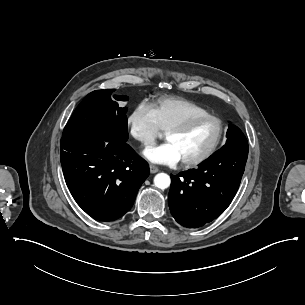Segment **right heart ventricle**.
<instances>
[{
    "instance_id": "obj_1",
    "label": "right heart ventricle",
    "mask_w": 305,
    "mask_h": 305,
    "mask_svg": "<svg viewBox=\"0 0 305 305\" xmlns=\"http://www.w3.org/2000/svg\"><path fill=\"white\" fill-rule=\"evenodd\" d=\"M150 107L160 128L164 130L189 117L208 113L206 109L194 102L176 96L159 97L150 103Z\"/></svg>"
}]
</instances>
